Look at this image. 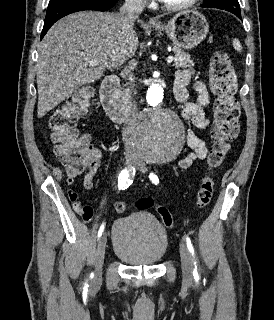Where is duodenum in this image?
<instances>
[{"instance_id":"obj_1","label":"duodenum","mask_w":274,"mask_h":320,"mask_svg":"<svg viewBox=\"0 0 274 320\" xmlns=\"http://www.w3.org/2000/svg\"><path fill=\"white\" fill-rule=\"evenodd\" d=\"M120 82L119 76H109L104 80L100 89L101 104L104 110L113 121L118 123L126 121L129 117V111L119 100Z\"/></svg>"}]
</instances>
